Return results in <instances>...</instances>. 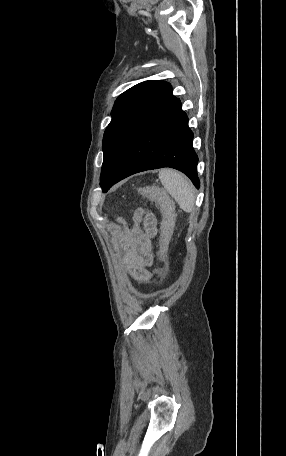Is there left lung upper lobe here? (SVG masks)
<instances>
[{
  "instance_id": "left-lung-upper-lobe-1",
  "label": "left lung upper lobe",
  "mask_w": 286,
  "mask_h": 456,
  "mask_svg": "<svg viewBox=\"0 0 286 456\" xmlns=\"http://www.w3.org/2000/svg\"><path fill=\"white\" fill-rule=\"evenodd\" d=\"M175 99L171 85L162 80L144 81L117 98L103 137L104 160L100 175L103 192L139 133Z\"/></svg>"
}]
</instances>
